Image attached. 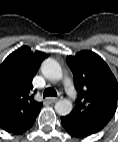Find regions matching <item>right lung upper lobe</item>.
I'll list each match as a JSON object with an SVG mask.
<instances>
[{"label": "right lung upper lobe", "instance_id": "obj_1", "mask_svg": "<svg viewBox=\"0 0 118 142\" xmlns=\"http://www.w3.org/2000/svg\"><path fill=\"white\" fill-rule=\"evenodd\" d=\"M45 53H32L23 46L11 53L0 65V127L14 134H22L34 123L42 103L31 95L32 79Z\"/></svg>", "mask_w": 118, "mask_h": 142}]
</instances>
